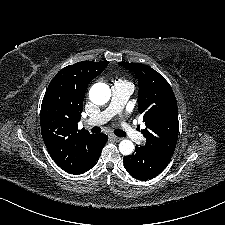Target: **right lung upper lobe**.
Masks as SVG:
<instances>
[{
	"label": "right lung upper lobe",
	"instance_id": "right-lung-upper-lobe-1",
	"mask_svg": "<svg viewBox=\"0 0 225 225\" xmlns=\"http://www.w3.org/2000/svg\"><path fill=\"white\" fill-rule=\"evenodd\" d=\"M108 62L83 61L61 69L44 95L40 123L45 146L55 163L77 175L98 148L96 134L78 130L86 88Z\"/></svg>",
	"mask_w": 225,
	"mask_h": 225
}]
</instances>
